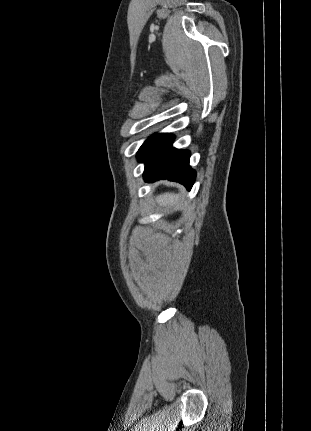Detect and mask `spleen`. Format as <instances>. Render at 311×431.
<instances>
[{"instance_id":"spleen-1","label":"spleen","mask_w":311,"mask_h":431,"mask_svg":"<svg viewBox=\"0 0 311 431\" xmlns=\"http://www.w3.org/2000/svg\"><path fill=\"white\" fill-rule=\"evenodd\" d=\"M155 202H157L159 206H170L173 210H179V208H183L184 204H186L182 196H178V194H170V192L162 194V196H157V198H155Z\"/></svg>"}]
</instances>
